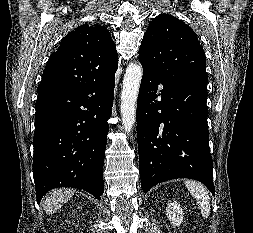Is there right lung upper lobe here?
I'll return each instance as SVG.
<instances>
[{
	"label": "right lung upper lobe",
	"instance_id": "cb5924a9",
	"mask_svg": "<svg viewBox=\"0 0 253 233\" xmlns=\"http://www.w3.org/2000/svg\"><path fill=\"white\" fill-rule=\"evenodd\" d=\"M118 65L116 45L100 25H82L68 33L52 53L37 92L107 76Z\"/></svg>",
	"mask_w": 253,
	"mask_h": 233
}]
</instances>
